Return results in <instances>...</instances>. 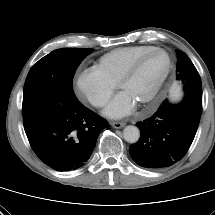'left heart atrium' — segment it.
<instances>
[{
  "instance_id": "obj_1",
  "label": "left heart atrium",
  "mask_w": 215,
  "mask_h": 215,
  "mask_svg": "<svg viewBox=\"0 0 215 215\" xmlns=\"http://www.w3.org/2000/svg\"><path fill=\"white\" fill-rule=\"evenodd\" d=\"M135 103L124 92L118 93L107 105L104 115L109 118H122L130 114L135 108Z\"/></svg>"
}]
</instances>
